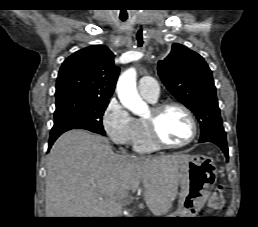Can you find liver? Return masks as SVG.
<instances>
[{
    "label": "liver",
    "instance_id": "1",
    "mask_svg": "<svg viewBox=\"0 0 258 227\" xmlns=\"http://www.w3.org/2000/svg\"><path fill=\"white\" fill-rule=\"evenodd\" d=\"M189 158L115 154L105 137L70 130L47 156L46 217H116L141 184L149 210L164 215L178 194L180 164Z\"/></svg>",
    "mask_w": 258,
    "mask_h": 227
}]
</instances>
